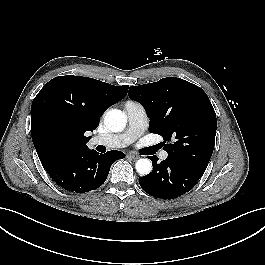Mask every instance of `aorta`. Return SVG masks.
<instances>
[{
	"label": "aorta",
	"instance_id": "1",
	"mask_svg": "<svg viewBox=\"0 0 265 265\" xmlns=\"http://www.w3.org/2000/svg\"><path fill=\"white\" fill-rule=\"evenodd\" d=\"M104 123L112 132H121L127 123L126 115L118 109H112L105 114ZM136 171L141 175H147L152 170L149 159H139L135 165Z\"/></svg>",
	"mask_w": 265,
	"mask_h": 265
}]
</instances>
